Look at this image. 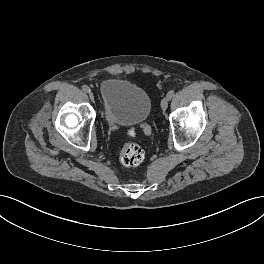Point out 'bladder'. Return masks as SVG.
Listing matches in <instances>:
<instances>
[{
  "label": "bladder",
  "instance_id": "obj_1",
  "mask_svg": "<svg viewBox=\"0 0 264 264\" xmlns=\"http://www.w3.org/2000/svg\"><path fill=\"white\" fill-rule=\"evenodd\" d=\"M101 115L109 126L137 125L146 121L151 99L141 86L110 78L100 85Z\"/></svg>",
  "mask_w": 264,
  "mask_h": 264
}]
</instances>
